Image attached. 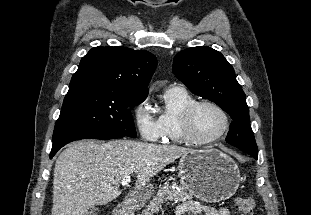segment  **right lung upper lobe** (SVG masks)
<instances>
[{
  "label": "right lung upper lobe",
  "instance_id": "1",
  "mask_svg": "<svg viewBox=\"0 0 311 215\" xmlns=\"http://www.w3.org/2000/svg\"><path fill=\"white\" fill-rule=\"evenodd\" d=\"M156 66L155 56L145 50L99 46L81 59L69 86H94L147 96V85Z\"/></svg>",
  "mask_w": 311,
  "mask_h": 215
}]
</instances>
